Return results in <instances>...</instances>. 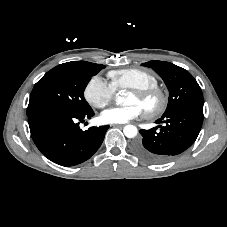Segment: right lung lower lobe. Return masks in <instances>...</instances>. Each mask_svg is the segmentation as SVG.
Segmentation results:
<instances>
[{
	"label": "right lung lower lobe",
	"mask_w": 227,
	"mask_h": 227,
	"mask_svg": "<svg viewBox=\"0 0 227 227\" xmlns=\"http://www.w3.org/2000/svg\"><path fill=\"white\" fill-rule=\"evenodd\" d=\"M92 109L68 112L44 109L28 115L32 139L41 153L61 166H74L89 159L101 146L109 126L82 131L78 121L90 119Z\"/></svg>",
	"instance_id": "right-lung-lower-lobe-1"
}]
</instances>
